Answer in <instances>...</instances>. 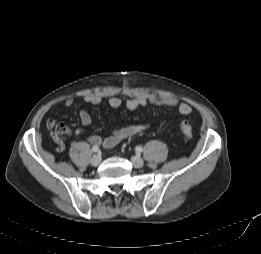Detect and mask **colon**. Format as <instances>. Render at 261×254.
<instances>
[{
	"label": "colon",
	"mask_w": 261,
	"mask_h": 254,
	"mask_svg": "<svg viewBox=\"0 0 261 254\" xmlns=\"http://www.w3.org/2000/svg\"><path fill=\"white\" fill-rule=\"evenodd\" d=\"M180 133L185 140H191L193 137V131L191 125L187 121H183L180 124Z\"/></svg>",
	"instance_id": "colon-1"
}]
</instances>
